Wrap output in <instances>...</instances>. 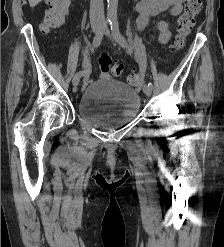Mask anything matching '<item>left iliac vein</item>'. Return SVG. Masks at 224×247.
<instances>
[{"mask_svg":"<svg viewBox=\"0 0 224 247\" xmlns=\"http://www.w3.org/2000/svg\"><path fill=\"white\" fill-rule=\"evenodd\" d=\"M105 35L109 37L110 39L116 40L114 37V34L109 31V29L105 30ZM143 91L147 96H151L152 94V88L148 85L143 86Z\"/></svg>","mask_w":224,"mask_h":247,"instance_id":"1","label":"left iliac vein"}]
</instances>
